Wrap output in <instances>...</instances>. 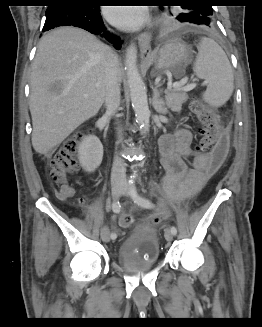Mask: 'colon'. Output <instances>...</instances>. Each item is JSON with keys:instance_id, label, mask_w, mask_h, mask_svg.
Here are the masks:
<instances>
[{"instance_id": "obj_1", "label": "colon", "mask_w": 262, "mask_h": 327, "mask_svg": "<svg viewBox=\"0 0 262 327\" xmlns=\"http://www.w3.org/2000/svg\"><path fill=\"white\" fill-rule=\"evenodd\" d=\"M191 110L200 123L197 151L208 154L211 171H217L223 166L229 153L228 136L220 126L217 114L207 105L199 100H193ZM83 136V133H78L66 141L50 161L49 176L51 182L59 188V196L62 199H70L75 195V190L69 184L68 179L78 168V148ZM165 217L167 213L162 212L154 215L152 221L158 223ZM132 221L130 215L123 213L118 223L121 227H128Z\"/></svg>"}]
</instances>
